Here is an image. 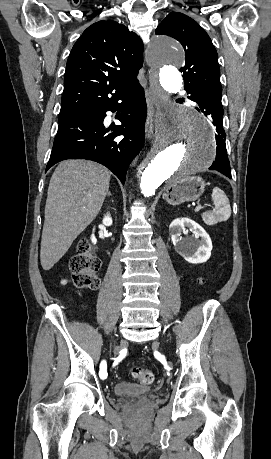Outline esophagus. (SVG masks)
<instances>
[{"instance_id": "esophagus-1", "label": "esophagus", "mask_w": 271, "mask_h": 459, "mask_svg": "<svg viewBox=\"0 0 271 459\" xmlns=\"http://www.w3.org/2000/svg\"><path fill=\"white\" fill-rule=\"evenodd\" d=\"M152 59H147V62H143V67H148V65H151ZM145 97L147 101V107H148V113H147V118H146V123H145V136L148 140H150L153 136L154 133V116H155V107H154V92L151 89V87H147L145 89Z\"/></svg>"}]
</instances>
